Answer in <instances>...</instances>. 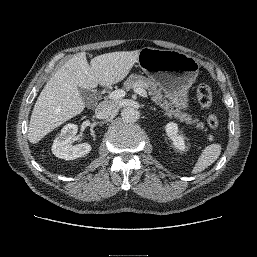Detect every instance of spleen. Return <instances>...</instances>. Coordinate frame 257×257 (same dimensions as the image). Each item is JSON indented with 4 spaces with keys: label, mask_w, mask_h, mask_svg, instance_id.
Masks as SVG:
<instances>
[{
    "label": "spleen",
    "mask_w": 257,
    "mask_h": 257,
    "mask_svg": "<svg viewBox=\"0 0 257 257\" xmlns=\"http://www.w3.org/2000/svg\"><path fill=\"white\" fill-rule=\"evenodd\" d=\"M221 149V145L217 143L205 147L202 153L200 154L191 173H200L204 171L207 167H209L211 164H213L219 158Z\"/></svg>",
    "instance_id": "1"
}]
</instances>
